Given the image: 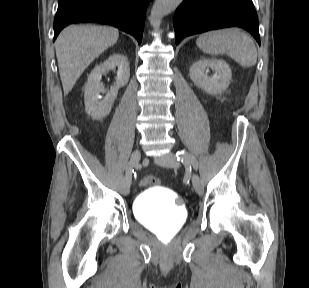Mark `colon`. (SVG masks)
I'll list each match as a JSON object with an SVG mask.
<instances>
[{
  "label": "colon",
  "instance_id": "obj_1",
  "mask_svg": "<svg viewBox=\"0 0 309 288\" xmlns=\"http://www.w3.org/2000/svg\"><path fill=\"white\" fill-rule=\"evenodd\" d=\"M157 182H158L157 179L153 176H144L143 178L140 179L139 185L141 187H146Z\"/></svg>",
  "mask_w": 309,
  "mask_h": 288
}]
</instances>
